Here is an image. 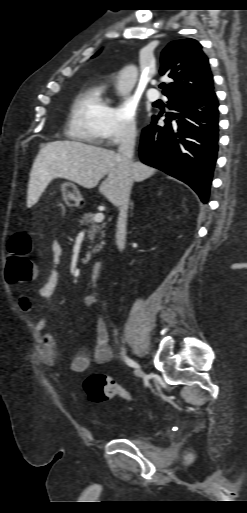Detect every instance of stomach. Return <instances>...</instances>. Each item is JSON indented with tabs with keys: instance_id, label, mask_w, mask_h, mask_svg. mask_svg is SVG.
<instances>
[{
	"instance_id": "obj_1",
	"label": "stomach",
	"mask_w": 247,
	"mask_h": 513,
	"mask_svg": "<svg viewBox=\"0 0 247 513\" xmlns=\"http://www.w3.org/2000/svg\"><path fill=\"white\" fill-rule=\"evenodd\" d=\"M63 194L65 202L69 206H79V204L83 201L77 186L73 183L66 182L63 184Z\"/></svg>"
}]
</instances>
